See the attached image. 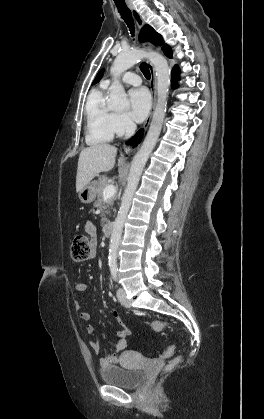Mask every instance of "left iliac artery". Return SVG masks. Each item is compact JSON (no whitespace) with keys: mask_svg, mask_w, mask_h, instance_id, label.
Here are the masks:
<instances>
[{"mask_svg":"<svg viewBox=\"0 0 264 419\" xmlns=\"http://www.w3.org/2000/svg\"><path fill=\"white\" fill-rule=\"evenodd\" d=\"M117 271H118V269H117L116 267H112V268H111V275H112V278H113L114 280H116Z\"/></svg>","mask_w":264,"mask_h":419,"instance_id":"44dca946","label":"left iliac artery"}]
</instances>
